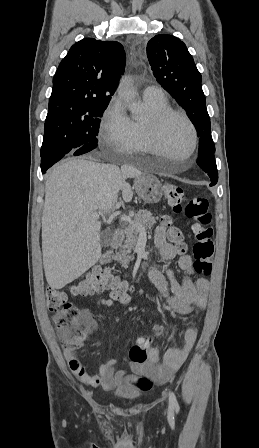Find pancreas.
Instances as JSON below:
<instances>
[{
    "mask_svg": "<svg viewBox=\"0 0 259 448\" xmlns=\"http://www.w3.org/2000/svg\"><path fill=\"white\" fill-rule=\"evenodd\" d=\"M156 220L157 218H154L148 210H139L134 218L135 224H142L143 228H153L156 224ZM125 234L126 240L123 246H121V250L116 252L115 260L121 262L123 268H128V264L130 260H133V256H127V254H130L131 250H134V246H136V242L139 238L140 230H138L134 224H130V226L126 228Z\"/></svg>",
    "mask_w": 259,
    "mask_h": 448,
    "instance_id": "1",
    "label": "pancreas"
}]
</instances>
